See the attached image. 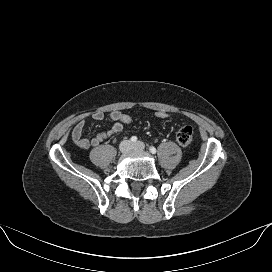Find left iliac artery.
<instances>
[{
    "label": "left iliac artery",
    "instance_id": "obj_1",
    "mask_svg": "<svg viewBox=\"0 0 272 272\" xmlns=\"http://www.w3.org/2000/svg\"><path fill=\"white\" fill-rule=\"evenodd\" d=\"M149 150H150V152H151L152 154H155V153H156V148L153 147V146H151Z\"/></svg>",
    "mask_w": 272,
    "mask_h": 272
}]
</instances>
